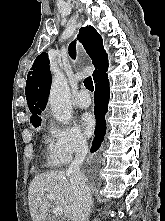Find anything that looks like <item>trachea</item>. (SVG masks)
Wrapping results in <instances>:
<instances>
[{
	"label": "trachea",
	"mask_w": 165,
	"mask_h": 221,
	"mask_svg": "<svg viewBox=\"0 0 165 221\" xmlns=\"http://www.w3.org/2000/svg\"><path fill=\"white\" fill-rule=\"evenodd\" d=\"M84 85L89 91L92 92L94 90L93 81L91 77L85 78Z\"/></svg>",
	"instance_id": "1"
}]
</instances>
